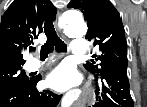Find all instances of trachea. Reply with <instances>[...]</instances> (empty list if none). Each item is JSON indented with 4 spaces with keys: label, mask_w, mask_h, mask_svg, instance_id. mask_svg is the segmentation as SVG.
I'll return each mask as SVG.
<instances>
[{
    "label": "trachea",
    "mask_w": 147,
    "mask_h": 107,
    "mask_svg": "<svg viewBox=\"0 0 147 107\" xmlns=\"http://www.w3.org/2000/svg\"><path fill=\"white\" fill-rule=\"evenodd\" d=\"M44 32L47 37V41L41 46L40 56L47 57L50 51L55 47L57 51L65 52L67 50V45L62 41L54 28L52 19H46L44 23Z\"/></svg>",
    "instance_id": "obj_1"
}]
</instances>
